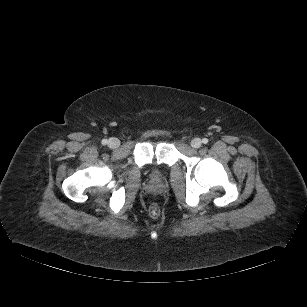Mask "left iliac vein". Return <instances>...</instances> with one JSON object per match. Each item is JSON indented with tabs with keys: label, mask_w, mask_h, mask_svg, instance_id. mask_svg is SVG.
<instances>
[{
	"label": "left iliac vein",
	"mask_w": 307,
	"mask_h": 307,
	"mask_svg": "<svg viewBox=\"0 0 307 307\" xmlns=\"http://www.w3.org/2000/svg\"><path fill=\"white\" fill-rule=\"evenodd\" d=\"M191 145H192V147H194V148H199V147H201V145H202V141H201L200 138H194V139L191 141Z\"/></svg>",
	"instance_id": "obj_1"
}]
</instances>
